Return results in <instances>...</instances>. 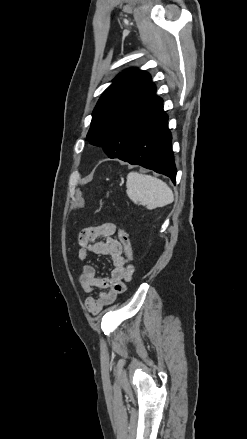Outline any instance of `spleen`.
I'll return each mask as SVG.
<instances>
[{"label": "spleen", "instance_id": "obj_1", "mask_svg": "<svg viewBox=\"0 0 247 439\" xmlns=\"http://www.w3.org/2000/svg\"><path fill=\"white\" fill-rule=\"evenodd\" d=\"M126 193L135 204L148 210L164 207L174 201L170 187L161 179L138 172L127 175Z\"/></svg>", "mask_w": 247, "mask_h": 439}]
</instances>
